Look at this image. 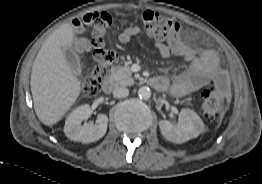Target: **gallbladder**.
I'll return each instance as SVG.
<instances>
[{
    "label": "gallbladder",
    "instance_id": "bac80fb5",
    "mask_svg": "<svg viewBox=\"0 0 262 184\" xmlns=\"http://www.w3.org/2000/svg\"><path fill=\"white\" fill-rule=\"evenodd\" d=\"M64 55L66 62L68 63L72 72L76 75H80L82 71V65L80 62V57L77 55V53L70 48H66L64 49Z\"/></svg>",
    "mask_w": 262,
    "mask_h": 184
}]
</instances>
